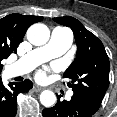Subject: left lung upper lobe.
<instances>
[{"instance_id": "1", "label": "left lung upper lobe", "mask_w": 117, "mask_h": 117, "mask_svg": "<svg viewBox=\"0 0 117 117\" xmlns=\"http://www.w3.org/2000/svg\"><path fill=\"white\" fill-rule=\"evenodd\" d=\"M53 20L73 30L77 45L76 58L63 75L70 80L67 85L74 94L100 107L109 86L110 71L109 58L102 42L73 17H57Z\"/></svg>"}]
</instances>
